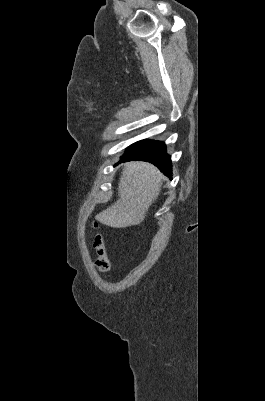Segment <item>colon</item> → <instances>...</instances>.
Listing matches in <instances>:
<instances>
[{
  "label": "colon",
  "instance_id": "obj_1",
  "mask_svg": "<svg viewBox=\"0 0 265 401\" xmlns=\"http://www.w3.org/2000/svg\"><path fill=\"white\" fill-rule=\"evenodd\" d=\"M93 248L97 254L96 265L100 271L107 272L110 269V262L106 256L103 237L99 233L93 238Z\"/></svg>",
  "mask_w": 265,
  "mask_h": 401
}]
</instances>
